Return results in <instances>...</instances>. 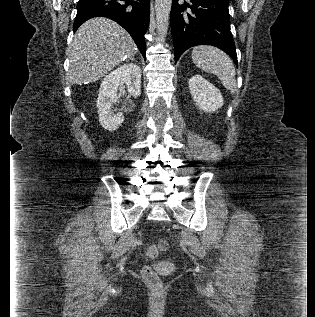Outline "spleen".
<instances>
[{"label":"spleen","instance_id":"1","mask_svg":"<svg viewBox=\"0 0 315 317\" xmlns=\"http://www.w3.org/2000/svg\"><path fill=\"white\" fill-rule=\"evenodd\" d=\"M192 60L201 70L217 75L223 86L235 93V67L226 53L213 46L201 45L193 49Z\"/></svg>","mask_w":315,"mask_h":317}]
</instances>
